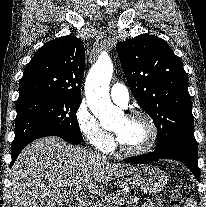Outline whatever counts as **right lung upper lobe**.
<instances>
[{
  "label": "right lung upper lobe",
  "mask_w": 206,
  "mask_h": 207,
  "mask_svg": "<svg viewBox=\"0 0 206 207\" xmlns=\"http://www.w3.org/2000/svg\"><path fill=\"white\" fill-rule=\"evenodd\" d=\"M84 66V45L75 36L47 42L27 64L17 100L37 95L80 99Z\"/></svg>",
  "instance_id": "obj_1"
}]
</instances>
